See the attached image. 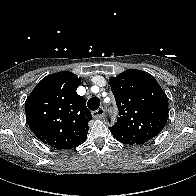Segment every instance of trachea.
Returning a JSON list of instances; mask_svg holds the SVG:
<instances>
[{"label":"trachea","mask_w":196,"mask_h":196,"mask_svg":"<svg viewBox=\"0 0 196 196\" xmlns=\"http://www.w3.org/2000/svg\"><path fill=\"white\" fill-rule=\"evenodd\" d=\"M87 106L90 110L96 111L100 106V99L98 97H92L88 100Z\"/></svg>","instance_id":"3493384b"}]
</instances>
